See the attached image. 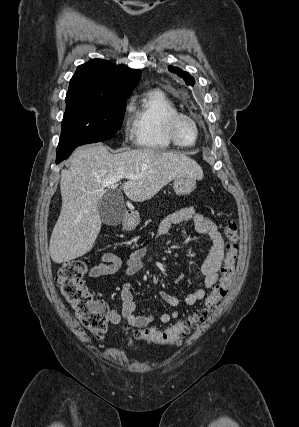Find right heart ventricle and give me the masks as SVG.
Segmentation results:
<instances>
[{
	"label": "right heart ventricle",
	"instance_id": "obj_1",
	"mask_svg": "<svg viewBox=\"0 0 299 427\" xmlns=\"http://www.w3.org/2000/svg\"><path fill=\"white\" fill-rule=\"evenodd\" d=\"M132 138L142 149L165 151L173 148L165 131L166 118L178 112L175 103L162 90L145 91L132 105Z\"/></svg>",
	"mask_w": 299,
	"mask_h": 427
}]
</instances>
